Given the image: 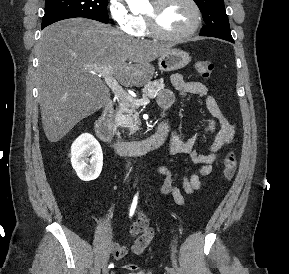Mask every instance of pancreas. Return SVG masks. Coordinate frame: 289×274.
<instances>
[{
  "label": "pancreas",
  "instance_id": "cf45deb5",
  "mask_svg": "<svg viewBox=\"0 0 289 274\" xmlns=\"http://www.w3.org/2000/svg\"><path fill=\"white\" fill-rule=\"evenodd\" d=\"M163 79L149 82L143 89V98H156L164 89ZM138 105L134 102L122 99L119 109L117 110L115 121L117 126L127 127L130 133L138 130L139 120L136 110Z\"/></svg>",
  "mask_w": 289,
  "mask_h": 274
}]
</instances>
